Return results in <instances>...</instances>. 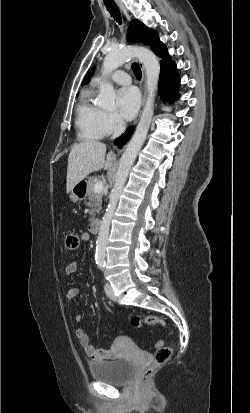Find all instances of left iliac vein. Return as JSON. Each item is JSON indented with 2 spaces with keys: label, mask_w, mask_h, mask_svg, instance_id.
Segmentation results:
<instances>
[{
  "label": "left iliac vein",
  "mask_w": 250,
  "mask_h": 413,
  "mask_svg": "<svg viewBox=\"0 0 250 413\" xmlns=\"http://www.w3.org/2000/svg\"><path fill=\"white\" fill-rule=\"evenodd\" d=\"M105 292H106L107 296H108L110 299L115 300L114 291H113V288H112V286H111V284H110L109 282H107V283L105 284Z\"/></svg>",
  "instance_id": "obj_1"
}]
</instances>
